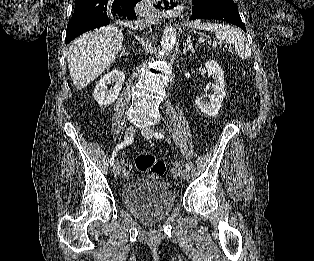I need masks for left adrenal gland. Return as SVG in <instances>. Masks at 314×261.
<instances>
[{"mask_svg": "<svg viewBox=\"0 0 314 261\" xmlns=\"http://www.w3.org/2000/svg\"><path fill=\"white\" fill-rule=\"evenodd\" d=\"M189 49H191L190 45H189V47H188V43H185L184 49H183V54H186V52H187ZM191 50H193V49H191Z\"/></svg>", "mask_w": 314, "mask_h": 261, "instance_id": "a2214340", "label": "left adrenal gland"}]
</instances>
